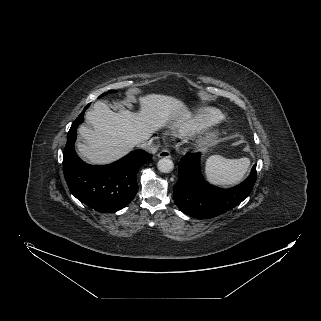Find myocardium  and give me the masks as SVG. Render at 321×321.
Masks as SVG:
<instances>
[{
	"instance_id": "f54148a6",
	"label": "myocardium",
	"mask_w": 321,
	"mask_h": 321,
	"mask_svg": "<svg viewBox=\"0 0 321 321\" xmlns=\"http://www.w3.org/2000/svg\"><path fill=\"white\" fill-rule=\"evenodd\" d=\"M220 135L219 129H212L203 133L197 140L196 146L200 148L208 147L215 143Z\"/></svg>"
}]
</instances>
